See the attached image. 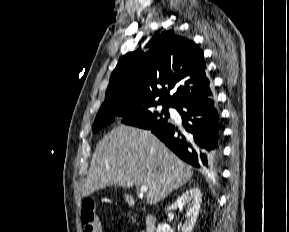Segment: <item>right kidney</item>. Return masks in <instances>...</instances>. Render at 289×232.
Instances as JSON below:
<instances>
[{
  "instance_id": "1",
  "label": "right kidney",
  "mask_w": 289,
  "mask_h": 232,
  "mask_svg": "<svg viewBox=\"0 0 289 232\" xmlns=\"http://www.w3.org/2000/svg\"><path fill=\"white\" fill-rule=\"evenodd\" d=\"M202 201L201 190L199 188H190L185 191L181 196H179L176 201L167 208V211L176 210L187 204V214L185 223L181 227L182 232H192L193 227L196 223L197 216L200 209V204ZM170 228L165 224H159L157 227V232H169Z\"/></svg>"
}]
</instances>
